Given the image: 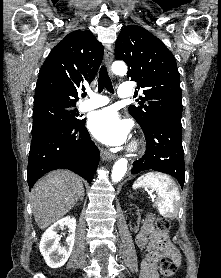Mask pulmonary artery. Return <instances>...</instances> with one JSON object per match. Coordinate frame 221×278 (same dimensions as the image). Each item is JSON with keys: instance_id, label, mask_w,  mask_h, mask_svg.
Segmentation results:
<instances>
[{"instance_id": "1", "label": "pulmonary artery", "mask_w": 221, "mask_h": 278, "mask_svg": "<svg viewBox=\"0 0 221 278\" xmlns=\"http://www.w3.org/2000/svg\"><path fill=\"white\" fill-rule=\"evenodd\" d=\"M118 95L120 98L129 99L133 96V91L129 84H122L119 87ZM89 98L83 101L79 105L81 111H89L95 108L105 106L109 103V99L106 96L96 94L93 92L88 93Z\"/></svg>"}]
</instances>
